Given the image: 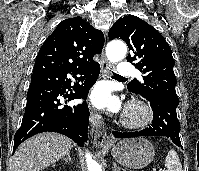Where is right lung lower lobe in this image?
<instances>
[{"label": "right lung lower lobe", "instance_id": "right-lung-lower-lobe-1", "mask_svg": "<svg viewBox=\"0 0 199 171\" xmlns=\"http://www.w3.org/2000/svg\"><path fill=\"white\" fill-rule=\"evenodd\" d=\"M99 72L100 65L97 62L76 70L33 72L25 114L21 127L14 136V150L29 137L47 131L64 134L81 146L87 139L88 106L86 102L74 106L64 105L60 97L66 99L65 103L73 99H86ZM67 74L82 82V85L74 84L72 87L75 93H68L72 89ZM78 74L83 77L78 78Z\"/></svg>", "mask_w": 199, "mask_h": 171}]
</instances>
